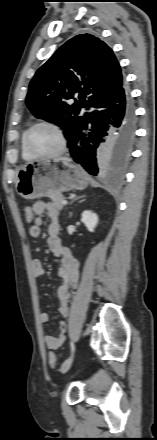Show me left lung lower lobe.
<instances>
[{
  "label": "left lung lower lobe",
  "mask_w": 157,
  "mask_h": 440,
  "mask_svg": "<svg viewBox=\"0 0 157 440\" xmlns=\"http://www.w3.org/2000/svg\"><path fill=\"white\" fill-rule=\"evenodd\" d=\"M71 138V157L91 175L121 171L135 132V112L123 86L98 102Z\"/></svg>",
  "instance_id": "0a47b994"
}]
</instances>
